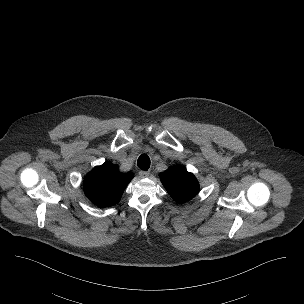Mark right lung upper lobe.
Segmentation results:
<instances>
[{
    "label": "right lung upper lobe",
    "instance_id": "cb5924a9",
    "mask_svg": "<svg viewBox=\"0 0 304 304\" xmlns=\"http://www.w3.org/2000/svg\"><path fill=\"white\" fill-rule=\"evenodd\" d=\"M132 178V173L121 174L116 165L104 163L87 174L84 192L92 203L101 207L111 206L120 201Z\"/></svg>",
    "mask_w": 304,
    "mask_h": 304
}]
</instances>
